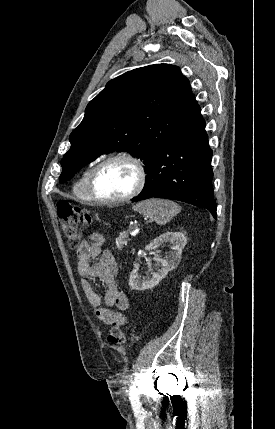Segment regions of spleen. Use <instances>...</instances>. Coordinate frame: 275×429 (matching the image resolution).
<instances>
[{"instance_id": "3e777b00", "label": "spleen", "mask_w": 275, "mask_h": 429, "mask_svg": "<svg viewBox=\"0 0 275 429\" xmlns=\"http://www.w3.org/2000/svg\"><path fill=\"white\" fill-rule=\"evenodd\" d=\"M133 210L145 218H153L159 225H164L181 211V207L171 200L151 198L137 203Z\"/></svg>"}]
</instances>
